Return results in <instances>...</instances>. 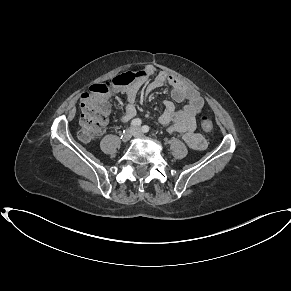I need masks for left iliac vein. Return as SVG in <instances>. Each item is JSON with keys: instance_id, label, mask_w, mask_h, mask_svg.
Listing matches in <instances>:
<instances>
[{"instance_id": "4c4485c4", "label": "left iliac vein", "mask_w": 291, "mask_h": 291, "mask_svg": "<svg viewBox=\"0 0 291 291\" xmlns=\"http://www.w3.org/2000/svg\"><path fill=\"white\" fill-rule=\"evenodd\" d=\"M135 137H141L142 136V134H141V130H140V128H135Z\"/></svg>"}]
</instances>
